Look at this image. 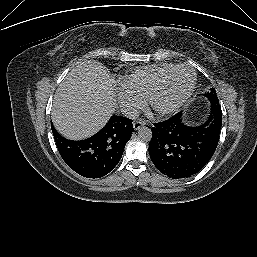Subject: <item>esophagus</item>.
I'll return each mask as SVG.
<instances>
[{
    "mask_svg": "<svg viewBox=\"0 0 257 257\" xmlns=\"http://www.w3.org/2000/svg\"><path fill=\"white\" fill-rule=\"evenodd\" d=\"M145 124L144 121L138 120L133 123V127L135 130H138L140 127H142Z\"/></svg>",
    "mask_w": 257,
    "mask_h": 257,
    "instance_id": "obj_1",
    "label": "esophagus"
}]
</instances>
